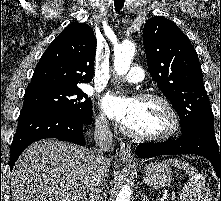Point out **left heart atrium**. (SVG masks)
Listing matches in <instances>:
<instances>
[{
	"label": "left heart atrium",
	"mask_w": 221,
	"mask_h": 201,
	"mask_svg": "<svg viewBox=\"0 0 221 201\" xmlns=\"http://www.w3.org/2000/svg\"><path fill=\"white\" fill-rule=\"evenodd\" d=\"M134 101L120 95L108 94L101 100V107L109 118L123 124L132 113Z\"/></svg>",
	"instance_id": "obj_1"
}]
</instances>
